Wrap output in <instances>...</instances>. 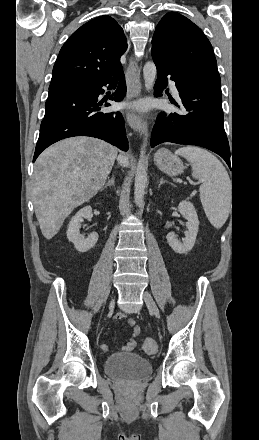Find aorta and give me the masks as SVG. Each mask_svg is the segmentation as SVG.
<instances>
[{
    "label": "aorta",
    "instance_id": "762f6f07",
    "mask_svg": "<svg viewBox=\"0 0 259 440\" xmlns=\"http://www.w3.org/2000/svg\"><path fill=\"white\" fill-rule=\"evenodd\" d=\"M143 76L146 90L150 91L153 88L156 76V66L153 62H147L144 65ZM146 183L147 173L145 168V146H143L140 151V160L135 174L134 200L138 207H142L143 205Z\"/></svg>",
    "mask_w": 259,
    "mask_h": 440
}]
</instances>
